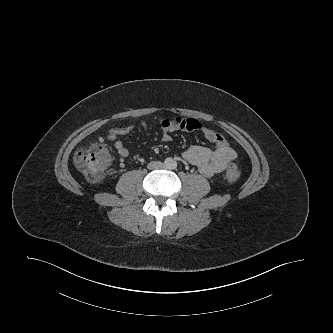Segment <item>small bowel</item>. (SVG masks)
I'll use <instances>...</instances> for the list:
<instances>
[{"mask_svg": "<svg viewBox=\"0 0 333 333\" xmlns=\"http://www.w3.org/2000/svg\"><path fill=\"white\" fill-rule=\"evenodd\" d=\"M144 127L147 125L144 124ZM161 129L164 141H170L171 134L177 130L199 131L214 145V149L195 145L183 153V158L190 164L197 166L200 173L207 178H212L224 171L236 157L235 151L221 134L196 119H164L161 122ZM132 130L133 126H123L114 127L108 131V139L114 143L116 152L122 158L128 157L129 150L118 138L129 134Z\"/></svg>", "mask_w": 333, "mask_h": 333, "instance_id": "obj_1", "label": "small bowel"}]
</instances>
